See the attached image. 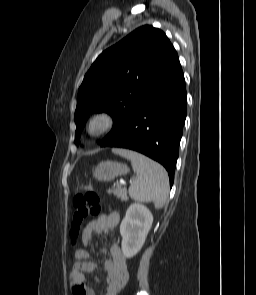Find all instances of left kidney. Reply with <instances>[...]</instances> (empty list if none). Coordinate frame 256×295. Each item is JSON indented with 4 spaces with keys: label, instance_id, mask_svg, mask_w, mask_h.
<instances>
[{
    "label": "left kidney",
    "instance_id": "1",
    "mask_svg": "<svg viewBox=\"0 0 256 295\" xmlns=\"http://www.w3.org/2000/svg\"><path fill=\"white\" fill-rule=\"evenodd\" d=\"M153 223V215L140 203H133L126 211L120 225L122 252L127 258L135 256L142 248Z\"/></svg>",
    "mask_w": 256,
    "mask_h": 295
}]
</instances>
